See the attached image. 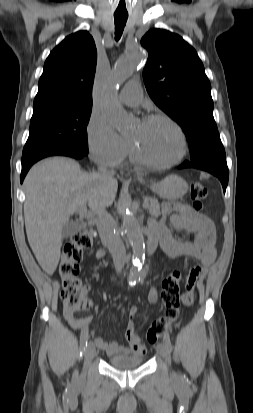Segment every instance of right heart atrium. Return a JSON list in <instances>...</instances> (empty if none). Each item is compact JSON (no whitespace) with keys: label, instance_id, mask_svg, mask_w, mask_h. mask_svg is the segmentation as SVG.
<instances>
[{"label":"right heart atrium","instance_id":"d8ad5b80","mask_svg":"<svg viewBox=\"0 0 253 413\" xmlns=\"http://www.w3.org/2000/svg\"><path fill=\"white\" fill-rule=\"evenodd\" d=\"M87 142L91 158L106 166L119 165L130 151L129 142L98 114H92L89 119Z\"/></svg>","mask_w":253,"mask_h":413}]
</instances>
